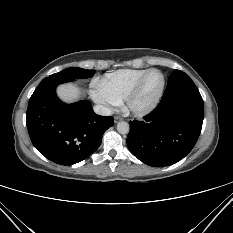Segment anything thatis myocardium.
<instances>
[{
  "label": "myocardium",
  "mask_w": 233,
  "mask_h": 233,
  "mask_svg": "<svg viewBox=\"0 0 233 233\" xmlns=\"http://www.w3.org/2000/svg\"><path fill=\"white\" fill-rule=\"evenodd\" d=\"M152 72H158L161 77H162V84L160 87L159 92L157 93V95L146 105L143 106H137L135 104V101L137 99V97L139 96L141 89L143 87L144 81L147 78V76L149 74H151ZM165 86H166V79L164 74L158 70V69H148L138 80L137 82L134 84V86L130 89V91L127 93L126 97L124 98V109L129 113L132 114L136 117H142L145 116L147 114H149L150 112H152L157 105L159 104L164 90H165Z\"/></svg>",
  "instance_id": "myocardium-1"
}]
</instances>
